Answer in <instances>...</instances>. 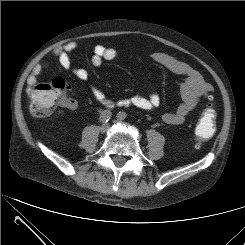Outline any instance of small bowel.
I'll return each mask as SVG.
<instances>
[{"label":"small bowel","instance_id":"obj_1","mask_svg":"<svg viewBox=\"0 0 245 245\" xmlns=\"http://www.w3.org/2000/svg\"><path fill=\"white\" fill-rule=\"evenodd\" d=\"M75 49V43H68L54 49L52 55L58 59L63 69L71 72L79 80L86 81L89 78V72L84 68H76L72 64L70 54ZM117 56L118 52L116 49L99 44L94 47L91 62L94 66H99L104 60H114ZM151 58L154 62L165 67L172 73L184 77V82L181 86L182 103L174 112H164L162 115L163 121L167 124H181L196 108L200 99L209 93L212 88L197 70L166 53L155 52L151 55ZM47 67L48 64L46 62L38 63L29 76L28 83H35L42 71ZM91 91L99 103L108 107H136L141 110L155 111L159 109L161 104L160 97L154 92L137 94L130 98L113 102L106 97L100 88L91 86ZM69 107L74 109L76 108V104L72 103Z\"/></svg>","mask_w":245,"mask_h":245}]
</instances>
